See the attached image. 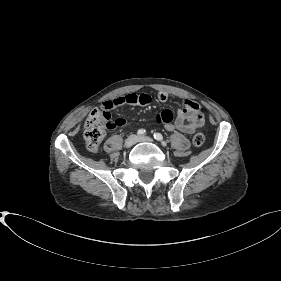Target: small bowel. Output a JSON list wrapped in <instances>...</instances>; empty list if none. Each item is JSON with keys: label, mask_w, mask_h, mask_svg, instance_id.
Listing matches in <instances>:
<instances>
[{"label": "small bowel", "mask_w": 281, "mask_h": 281, "mask_svg": "<svg viewBox=\"0 0 281 281\" xmlns=\"http://www.w3.org/2000/svg\"><path fill=\"white\" fill-rule=\"evenodd\" d=\"M157 101L165 103L169 99L166 92H159L156 96ZM152 102V96L147 93L128 94L119 96L103 102L100 108L104 111H111L121 105L129 104L133 106H147ZM116 126H124L126 121L122 118L115 120ZM155 122L164 125L169 132L180 131L185 134H192L202 127L204 118L199 105L191 100L184 101V107L179 110L174 119L173 112L169 109L160 111L155 116Z\"/></svg>", "instance_id": "1"}]
</instances>
